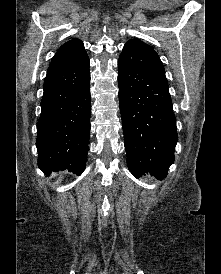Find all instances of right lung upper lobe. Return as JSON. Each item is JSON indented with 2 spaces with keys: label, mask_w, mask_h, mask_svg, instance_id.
Listing matches in <instances>:
<instances>
[{
  "label": "right lung upper lobe",
  "mask_w": 221,
  "mask_h": 274,
  "mask_svg": "<svg viewBox=\"0 0 221 274\" xmlns=\"http://www.w3.org/2000/svg\"><path fill=\"white\" fill-rule=\"evenodd\" d=\"M88 59L81 40L73 39L63 44L51 60L47 76L61 72Z\"/></svg>",
  "instance_id": "right-lung-upper-lobe-1"
}]
</instances>
